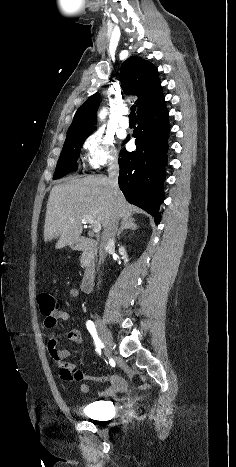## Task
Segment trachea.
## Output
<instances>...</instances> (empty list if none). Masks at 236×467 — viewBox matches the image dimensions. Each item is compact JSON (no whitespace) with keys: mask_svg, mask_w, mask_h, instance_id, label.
I'll list each match as a JSON object with an SVG mask.
<instances>
[{"mask_svg":"<svg viewBox=\"0 0 236 467\" xmlns=\"http://www.w3.org/2000/svg\"><path fill=\"white\" fill-rule=\"evenodd\" d=\"M135 110H136V105H132L131 106V113L129 115V119H135L136 118Z\"/></svg>","mask_w":236,"mask_h":467,"instance_id":"trachea-1","label":"trachea"}]
</instances>
